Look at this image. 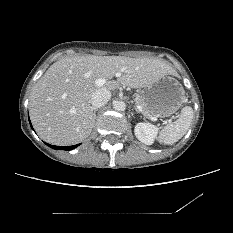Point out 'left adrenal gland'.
Here are the masks:
<instances>
[{"instance_id": "a2214340", "label": "left adrenal gland", "mask_w": 233, "mask_h": 233, "mask_svg": "<svg viewBox=\"0 0 233 233\" xmlns=\"http://www.w3.org/2000/svg\"><path fill=\"white\" fill-rule=\"evenodd\" d=\"M133 109L137 112L140 113L139 110L136 107H133Z\"/></svg>"}]
</instances>
